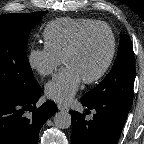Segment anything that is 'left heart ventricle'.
<instances>
[{"instance_id": "b2bd125f", "label": "left heart ventricle", "mask_w": 144, "mask_h": 144, "mask_svg": "<svg viewBox=\"0 0 144 144\" xmlns=\"http://www.w3.org/2000/svg\"><path fill=\"white\" fill-rule=\"evenodd\" d=\"M110 46L111 39L106 29L93 30L85 36L78 49L66 59L65 64L74 67L83 80L88 79L103 67Z\"/></svg>"}]
</instances>
